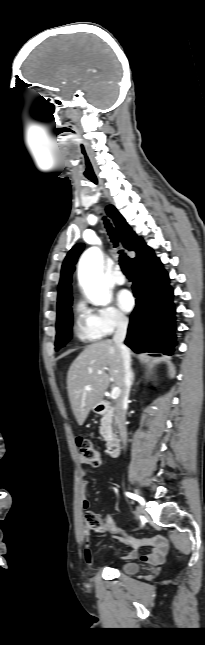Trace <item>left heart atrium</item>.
<instances>
[{
  "label": "left heart atrium",
  "instance_id": "left-heart-atrium-1",
  "mask_svg": "<svg viewBox=\"0 0 205 645\" xmlns=\"http://www.w3.org/2000/svg\"><path fill=\"white\" fill-rule=\"evenodd\" d=\"M117 300L120 308L125 312L131 311L134 307V298L127 290L120 291Z\"/></svg>",
  "mask_w": 205,
  "mask_h": 645
}]
</instances>
